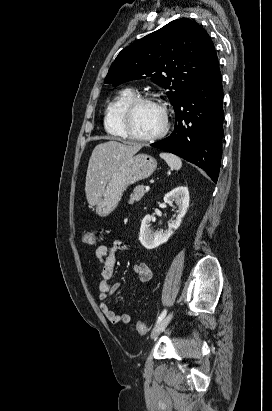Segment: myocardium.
Listing matches in <instances>:
<instances>
[{
    "label": "myocardium",
    "instance_id": "obj_1",
    "mask_svg": "<svg viewBox=\"0 0 272 411\" xmlns=\"http://www.w3.org/2000/svg\"><path fill=\"white\" fill-rule=\"evenodd\" d=\"M142 103H153L156 104L162 111V115H163V124L161 129L153 134V135H149V136H141V135H137L132 127H131V118H132V114L134 112V109ZM121 125L122 128L126 134V136L134 141H139V142H154L157 141L161 138H163L168 130H169V126H170V122H169V114H168V110L166 105L158 98L152 96V95H135L133 96L122 108L121 111Z\"/></svg>",
    "mask_w": 272,
    "mask_h": 411
}]
</instances>
